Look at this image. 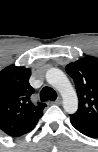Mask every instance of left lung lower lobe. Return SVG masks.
<instances>
[{
	"label": "left lung lower lobe",
	"mask_w": 98,
	"mask_h": 152,
	"mask_svg": "<svg viewBox=\"0 0 98 152\" xmlns=\"http://www.w3.org/2000/svg\"><path fill=\"white\" fill-rule=\"evenodd\" d=\"M72 125L82 134L91 137V138H97L98 137V127L97 126H93V125H89V124H85V123H81V122H75L73 120H71Z\"/></svg>",
	"instance_id": "obj_1"
}]
</instances>
